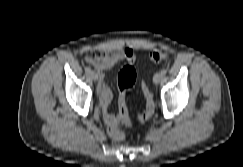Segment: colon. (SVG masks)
Returning <instances> with one entry per match:
<instances>
[{
  "mask_svg": "<svg viewBox=\"0 0 243 167\" xmlns=\"http://www.w3.org/2000/svg\"><path fill=\"white\" fill-rule=\"evenodd\" d=\"M168 58V54L165 51H154L150 54V60L154 63H159ZM118 89L121 95L125 94V91L131 88L136 82V71L130 66H124L118 74ZM143 95L145 98V110L139 115V120L142 122L147 121L152 117L155 111L154 97L150 89L146 86H142ZM121 109L118 117V121L111 123L108 126V132L110 136L116 140L121 141L124 136L121 127L128 126L130 119L128 117L125 99L121 100Z\"/></svg>",
  "mask_w": 243,
  "mask_h": 167,
  "instance_id": "1",
  "label": "colon"
}]
</instances>
